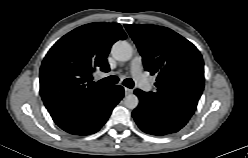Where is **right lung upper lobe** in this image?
<instances>
[{"mask_svg":"<svg viewBox=\"0 0 248 158\" xmlns=\"http://www.w3.org/2000/svg\"><path fill=\"white\" fill-rule=\"evenodd\" d=\"M117 23H90L59 39L40 68V94L50 115L77 107L107 87L96 85L93 72L109 71L107 56L113 43L125 39Z\"/></svg>","mask_w":248,"mask_h":158,"instance_id":"right-lung-upper-lobe-1","label":"right lung upper lobe"}]
</instances>
